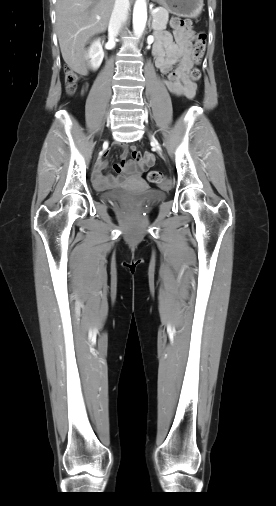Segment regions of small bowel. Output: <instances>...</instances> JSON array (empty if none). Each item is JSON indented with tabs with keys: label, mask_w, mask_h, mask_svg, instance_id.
Here are the masks:
<instances>
[{
	"label": "small bowel",
	"mask_w": 276,
	"mask_h": 506,
	"mask_svg": "<svg viewBox=\"0 0 276 506\" xmlns=\"http://www.w3.org/2000/svg\"><path fill=\"white\" fill-rule=\"evenodd\" d=\"M191 31L175 30L174 39L168 34L158 37L154 45L153 53L157 68L166 75L163 80L165 87L176 96H182L191 99L195 96L196 85L189 79L188 72L192 66L190 59ZM178 64L173 69L174 64ZM131 160L127 161V151L125 150L120 158L115 170L119 173L117 177L111 175L104 176L103 170L106 167V161H98L94 171L95 185L100 188H106L117 184H123L127 179H137L142 171L149 168L153 162V155L146 153L144 156L133 146L130 148Z\"/></svg>",
	"instance_id": "obj_1"
}]
</instances>
